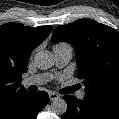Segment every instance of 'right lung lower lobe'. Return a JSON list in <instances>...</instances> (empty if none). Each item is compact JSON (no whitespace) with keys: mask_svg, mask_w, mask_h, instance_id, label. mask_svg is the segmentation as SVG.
Returning <instances> with one entry per match:
<instances>
[{"mask_svg":"<svg viewBox=\"0 0 119 119\" xmlns=\"http://www.w3.org/2000/svg\"><path fill=\"white\" fill-rule=\"evenodd\" d=\"M48 102L49 96L46 92L30 93L14 107L5 119H36L37 114Z\"/></svg>","mask_w":119,"mask_h":119,"instance_id":"obj_1","label":"right lung lower lobe"}]
</instances>
